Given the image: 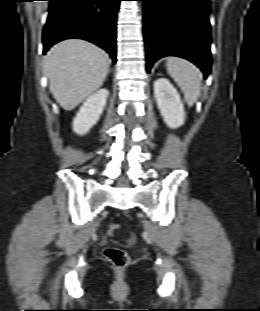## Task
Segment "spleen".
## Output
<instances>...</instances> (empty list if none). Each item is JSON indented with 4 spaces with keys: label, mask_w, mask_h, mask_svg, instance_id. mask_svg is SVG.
Segmentation results:
<instances>
[{
    "label": "spleen",
    "mask_w": 260,
    "mask_h": 311,
    "mask_svg": "<svg viewBox=\"0 0 260 311\" xmlns=\"http://www.w3.org/2000/svg\"><path fill=\"white\" fill-rule=\"evenodd\" d=\"M168 73L184 93L185 101L192 106L199 98L201 91L200 70L190 61L179 58L169 57L166 61Z\"/></svg>",
    "instance_id": "obj_1"
}]
</instances>
